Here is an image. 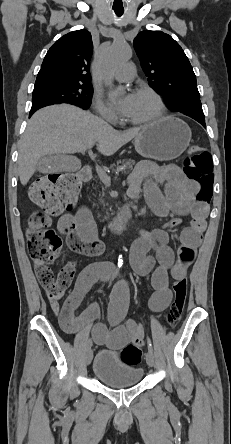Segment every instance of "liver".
Here are the masks:
<instances>
[{
	"mask_svg": "<svg viewBox=\"0 0 231 444\" xmlns=\"http://www.w3.org/2000/svg\"><path fill=\"white\" fill-rule=\"evenodd\" d=\"M145 127L121 132L73 105L44 107L31 117L19 142L20 182L22 185L28 183L43 156L85 152L96 143L101 154L111 156Z\"/></svg>",
	"mask_w": 231,
	"mask_h": 444,
	"instance_id": "6515ba94",
	"label": "liver"
}]
</instances>
